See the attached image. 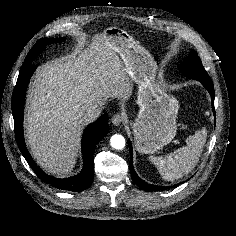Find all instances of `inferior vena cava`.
Instances as JSON below:
<instances>
[{
    "label": "inferior vena cava",
    "instance_id": "602c4592",
    "mask_svg": "<svg viewBox=\"0 0 236 236\" xmlns=\"http://www.w3.org/2000/svg\"><path fill=\"white\" fill-rule=\"evenodd\" d=\"M102 103H92L86 106L82 111V120L85 123L94 122L102 112Z\"/></svg>",
    "mask_w": 236,
    "mask_h": 236
}]
</instances>
